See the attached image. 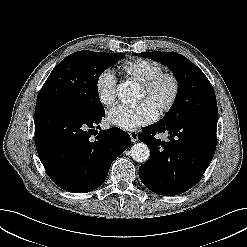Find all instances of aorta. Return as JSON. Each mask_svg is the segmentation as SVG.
<instances>
[{
    "label": "aorta",
    "instance_id": "1",
    "mask_svg": "<svg viewBox=\"0 0 247 247\" xmlns=\"http://www.w3.org/2000/svg\"><path fill=\"white\" fill-rule=\"evenodd\" d=\"M116 93L118 99L124 104L135 101L138 94L136 86L127 82H122L118 84L116 88ZM130 153L131 157L139 163L146 162L150 156V150L148 146L144 143L134 144L131 147Z\"/></svg>",
    "mask_w": 247,
    "mask_h": 247
}]
</instances>
